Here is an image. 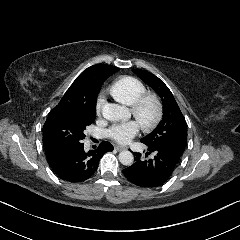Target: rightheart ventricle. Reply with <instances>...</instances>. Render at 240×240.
Returning a JSON list of instances; mask_svg holds the SVG:
<instances>
[{"mask_svg": "<svg viewBox=\"0 0 240 240\" xmlns=\"http://www.w3.org/2000/svg\"><path fill=\"white\" fill-rule=\"evenodd\" d=\"M109 92L122 105L132 106L135 100L145 92V87L136 78L123 77L111 85Z\"/></svg>", "mask_w": 240, "mask_h": 240, "instance_id": "1", "label": "right heart ventricle"}]
</instances>
